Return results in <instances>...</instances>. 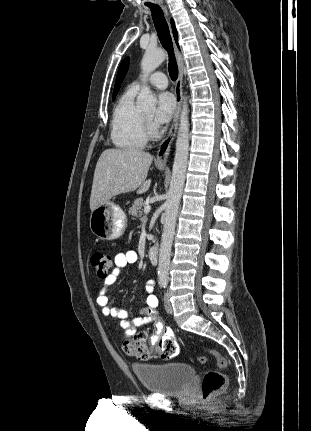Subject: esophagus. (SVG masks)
<instances>
[{"label":"esophagus","mask_w":311,"mask_h":431,"mask_svg":"<svg viewBox=\"0 0 311 431\" xmlns=\"http://www.w3.org/2000/svg\"><path fill=\"white\" fill-rule=\"evenodd\" d=\"M163 10L166 15H168L166 7L163 6ZM175 55L178 64V78L175 85V97H176V109L174 112L173 120L169 129L167 136L161 141L159 144V148L157 151V156L155 163L161 166L166 167L167 158L170 153L171 145L176 137L177 128L179 125V116L181 112V104L183 100V90H182V80H183V71H184V63L181 53L178 48L175 46Z\"/></svg>","instance_id":"1"}]
</instances>
